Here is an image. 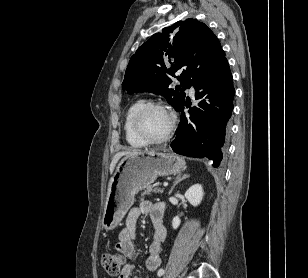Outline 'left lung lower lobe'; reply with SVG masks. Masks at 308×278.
Here are the masks:
<instances>
[{"mask_svg":"<svg viewBox=\"0 0 308 278\" xmlns=\"http://www.w3.org/2000/svg\"><path fill=\"white\" fill-rule=\"evenodd\" d=\"M197 107L184 115V102L177 110L182 112L180 126L171 147L174 152L196 158H208L218 167L227 145L235 89L227 59L197 81Z\"/></svg>","mask_w":308,"mask_h":278,"instance_id":"0a47b994","label":"left lung lower lobe"}]
</instances>
